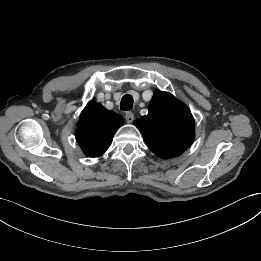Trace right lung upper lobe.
Listing matches in <instances>:
<instances>
[{
  "instance_id": "1",
  "label": "right lung upper lobe",
  "mask_w": 261,
  "mask_h": 261,
  "mask_svg": "<svg viewBox=\"0 0 261 261\" xmlns=\"http://www.w3.org/2000/svg\"><path fill=\"white\" fill-rule=\"evenodd\" d=\"M121 125L123 119L119 114L91 101L80 115L75 137L87 156L100 157Z\"/></svg>"
}]
</instances>
